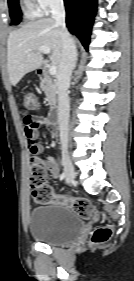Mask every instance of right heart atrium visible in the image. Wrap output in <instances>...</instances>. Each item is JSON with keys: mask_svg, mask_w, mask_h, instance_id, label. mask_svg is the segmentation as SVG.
Masks as SVG:
<instances>
[{"mask_svg": "<svg viewBox=\"0 0 134 281\" xmlns=\"http://www.w3.org/2000/svg\"><path fill=\"white\" fill-rule=\"evenodd\" d=\"M37 9L42 13H48L52 9L60 6L63 0H33Z\"/></svg>", "mask_w": 134, "mask_h": 281, "instance_id": "d8ad5b80", "label": "right heart atrium"}]
</instances>
